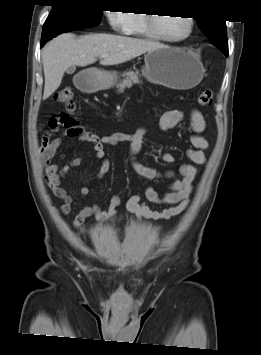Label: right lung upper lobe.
I'll return each mask as SVG.
<instances>
[{"mask_svg":"<svg viewBox=\"0 0 261 355\" xmlns=\"http://www.w3.org/2000/svg\"><path fill=\"white\" fill-rule=\"evenodd\" d=\"M53 3H57V2H61V1H65V0H51Z\"/></svg>","mask_w":261,"mask_h":355,"instance_id":"right-lung-upper-lobe-1","label":"right lung upper lobe"}]
</instances>
